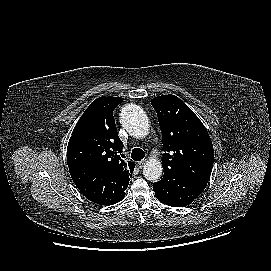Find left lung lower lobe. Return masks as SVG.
<instances>
[{
	"label": "left lung lower lobe",
	"instance_id": "1",
	"mask_svg": "<svg viewBox=\"0 0 271 271\" xmlns=\"http://www.w3.org/2000/svg\"><path fill=\"white\" fill-rule=\"evenodd\" d=\"M204 188L179 172L164 173L163 178L153 184V190L159 201L172 207L189 205Z\"/></svg>",
	"mask_w": 271,
	"mask_h": 271
}]
</instances>
